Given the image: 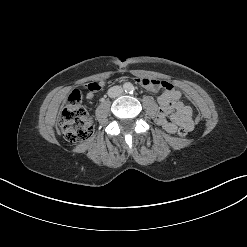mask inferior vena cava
Here are the masks:
<instances>
[{"mask_svg":"<svg viewBox=\"0 0 247 247\" xmlns=\"http://www.w3.org/2000/svg\"><path fill=\"white\" fill-rule=\"evenodd\" d=\"M122 93H123V88L121 86H113L108 90V96L111 98L118 97L122 95Z\"/></svg>","mask_w":247,"mask_h":247,"instance_id":"inferior-vena-cava-1","label":"inferior vena cava"}]
</instances>
